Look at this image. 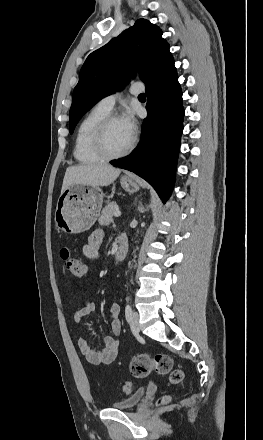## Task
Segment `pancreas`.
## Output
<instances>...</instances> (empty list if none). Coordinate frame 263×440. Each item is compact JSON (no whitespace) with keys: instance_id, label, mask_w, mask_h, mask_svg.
I'll use <instances>...</instances> for the list:
<instances>
[{"instance_id":"pancreas-1","label":"pancreas","mask_w":263,"mask_h":440,"mask_svg":"<svg viewBox=\"0 0 263 440\" xmlns=\"http://www.w3.org/2000/svg\"><path fill=\"white\" fill-rule=\"evenodd\" d=\"M118 210L116 202L108 203L101 212L99 217V224L102 226H107L113 221L114 213Z\"/></svg>"}]
</instances>
